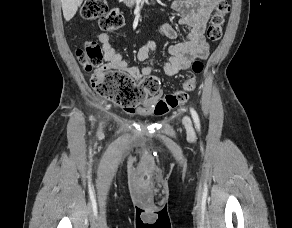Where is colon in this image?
Returning a JSON list of instances; mask_svg holds the SVG:
<instances>
[{"mask_svg": "<svg viewBox=\"0 0 292 228\" xmlns=\"http://www.w3.org/2000/svg\"><path fill=\"white\" fill-rule=\"evenodd\" d=\"M229 11L228 1L218 0L207 29V37L211 41H218L221 38L225 17ZM81 16L86 20H99L100 27L104 31L111 32L124 25L122 13L116 9L108 10L106 0H85L81 7ZM77 57L88 71L94 69L91 77L94 91L124 108H133L159 91V81L155 76H148L142 83L137 84L123 71H102L103 52L97 42H86L77 50ZM202 69V62L195 60L191 73L183 81L182 89L160 99L155 106L156 114H166L187 102L189 93L196 87V75L201 73Z\"/></svg>", "mask_w": 292, "mask_h": 228, "instance_id": "colon-1", "label": "colon"}]
</instances>
